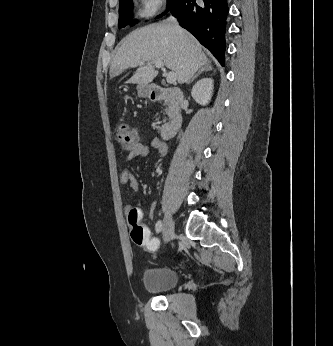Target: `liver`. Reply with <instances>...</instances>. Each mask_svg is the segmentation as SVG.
<instances>
[{
    "mask_svg": "<svg viewBox=\"0 0 333 346\" xmlns=\"http://www.w3.org/2000/svg\"><path fill=\"white\" fill-rule=\"evenodd\" d=\"M157 60L176 74L180 84L208 62L202 46L188 31L168 22L157 23L136 29L123 39L111 62L110 77L139 67L127 83L148 85L158 74L153 66Z\"/></svg>",
    "mask_w": 333,
    "mask_h": 346,
    "instance_id": "1",
    "label": "liver"
}]
</instances>
